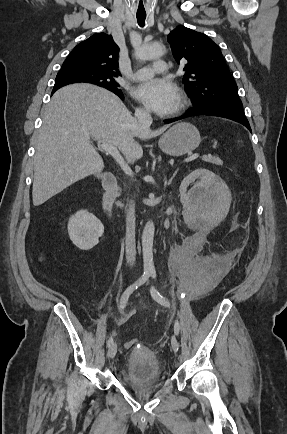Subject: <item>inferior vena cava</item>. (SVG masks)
Masks as SVG:
<instances>
[{"mask_svg": "<svg viewBox=\"0 0 287 434\" xmlns=\"http://www.w3.org/2000/svg\"><path fill=\"white\" fill-rule=\"evenodd\" d=\"M135 117L140 125L144 128H149L152 124V117L148 111L137 109ZM125 251L126 260L130 266H133L136 260V244H135V204L130 202L126 212V235H125Z\"/></svg>", "mask_w": 287, "mask_h": 434, "instance_id": "602c4592", "label": "inferior vena cava"}]
</instances>
